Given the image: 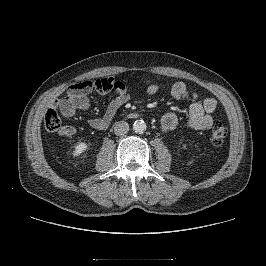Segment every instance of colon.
<instances>
[{
  "label": "colon",
  "instance_id": "obj_1",
  "mask_svg": "<svg viewBox=\"0 0 266 266\" xmlns=\"http://www.w3.org/2000/svg\"><path fill=\"white\" fill-rule=\"evenodd\" d=\"M124 85L113 77H103L94 81H82L71 86L70 92L74 96L94 90L99 93L120 91ZM44 126L48 132L61 130V119L55 108H49L44 116ZM227 136V129L223 124H215L210 133V141L213 145H221Z\"/></svg>",
  "mask_w": 266,
  "mask_h": 266
}]
</instances>
